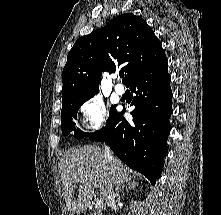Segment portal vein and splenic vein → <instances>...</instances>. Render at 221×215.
<instances>
[{"label":"portal vein and splenic vein","instance_id":"obj_1","mask_svg":"<svg viewBox=\"0 0 221 215\" xmlns=\"http://www.w3.org/2000/svg\"><path fill=\"white\" fill-rule=\"evenodd\" d=\"M101 205H103V199L102 198H97V200L95 202V207L99 208V207H101Z\"/></svg>","mask_w":221,"mask_h":215}]
</instances>
